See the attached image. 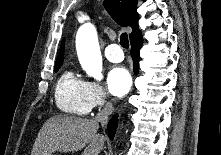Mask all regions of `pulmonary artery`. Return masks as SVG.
<instances>
[{"label":"pulmonary artery","instance_id":"1","mask_svg":"<svg viewBox=\"0 0 221 155\" xmlns=\"http://www.w3.org/2000/svg\"><path fill=\"white\" fill-rule=\"evenodd\" d=\"M104 54L111 62H121L124 58L121 47L116 43L108 45L104 50Z\"/></svg>","mask_w":221,"mask_h":155}]
</instances>
